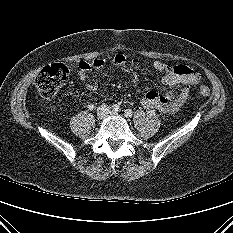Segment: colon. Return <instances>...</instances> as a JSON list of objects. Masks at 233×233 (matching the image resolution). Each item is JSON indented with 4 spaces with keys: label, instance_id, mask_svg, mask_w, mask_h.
Segmentation results:
<instances>
[{
    "label": "colon",
    "instance_id": "obj_1",
    "mask_svg": "<svg viewBox=\"0 0 233 233\" xmlns=\"http://www.w3.org/2000/svg\"><path fill=\"white\" fill-rule=\"evenodd\" d=\"M179 73H193L189 68H178ZM69 75L68 67L63 63H55L42 69L35 80L36 88L39 94L47 99L53 98L60 87L66 82ZM199 94L203 97L210 95L207 86L202 85L199 88Z\"/></svg>",
    "mask_w": 233,
    "mask_h": 233
}]
</instances>
